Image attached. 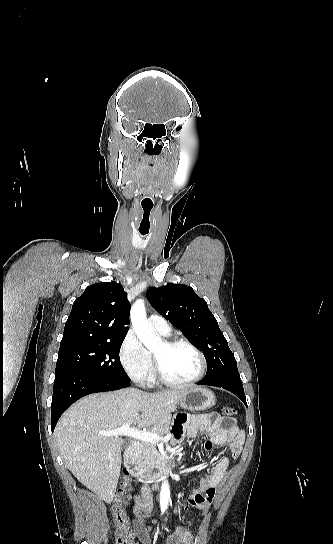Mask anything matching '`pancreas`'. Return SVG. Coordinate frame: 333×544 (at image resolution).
Segmentation results:
<instances>
[{"instance_id": "1", "label": "pancreas", "mask_w": 333, "mask_h": 544, "mask_svg": "<svg viewBox=\"0 0 333 544\" xmlns=\"http://www.w3.org/2000/svg\"><path fill=\"white\" fill-rule=\"evenodd\" d=\"M171 418L167 417L159 423L155 424L151 432L163 436L169 432ZM134 456L137 460L142 461L145 465L152 464L159 457V453L154 443L141 441L136 445Z\"/></svg>"}]
</instances>
